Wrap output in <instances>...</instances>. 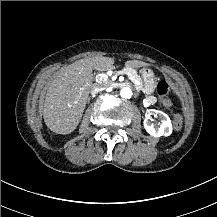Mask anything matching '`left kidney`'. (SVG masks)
I'll return each mask as SVG.
<instances>
[{"instance_id": "obj_1", "label": "left kidney", "mask_w": 217, "mask_h": 217, "mask_svg": "<svg viewBox=\"0 0 217 217\" xmlns=\"http://www.w3.org/2000/svg\"><path fill=\"white\" fill-rule=\"evenodd\" d=\"M155 113L160 119L159 124L152 122L151 114ZM145 130L154 137L169 136L172 133V123L169 116L159 110L149 109L145 113L144 119Z\"/></svg>"}]
</instances>
